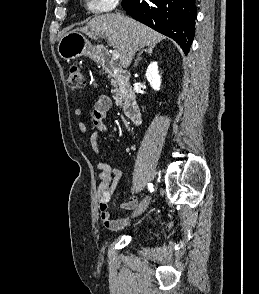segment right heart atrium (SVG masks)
Masks as SVG:
<instances>
[{
  "label": "right heart atrium",
  "mask_w": 259,
  "mask_h": 294,
  "mask_svg": "<svg viewBox=\"0 0 259 294\" xmlns=\"http://www.w3.org/2000/svg\"><path fill=\"white\" fill-rule=\"evenodd\" d=\"M119 0H85L87 8L96 14H104L114 9Z\"/></svg>",
  "instance_id": "1"
}]
</instances>
